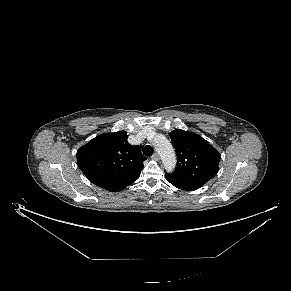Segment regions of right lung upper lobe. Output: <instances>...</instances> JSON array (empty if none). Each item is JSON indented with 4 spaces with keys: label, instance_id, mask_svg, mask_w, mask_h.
Returning <instances> with one entry per match:
<instances>
[{
    "label": "right lung upper lobe",
    "instance_id": "1",
    "mask_svg": "<svg viewBox=\"0 0 291 291\" xmlns=\"http://www.w3.org/2000/svg\"><path fill=\"white\" fill-rule=\"evenodd\" d=\"M127 133H104L77 151V163L93 184L111 191H121L135 182L146 159L140 146L127 142Z\"/></svg>",
    "mask_w": 291,
    "mask_h": 291
}]
</instances>
